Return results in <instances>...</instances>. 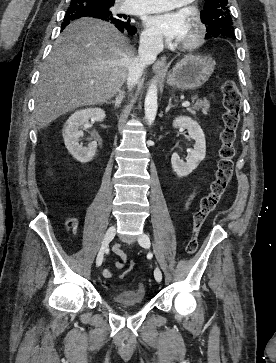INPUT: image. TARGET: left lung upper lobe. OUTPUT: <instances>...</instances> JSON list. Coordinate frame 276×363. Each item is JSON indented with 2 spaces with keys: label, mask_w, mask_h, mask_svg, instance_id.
I'll return each mask as SVG.
<instances>
[{
  "label": "left lung upper lobe",
  "mask_w": 276,
  "mask_h": 363,
  "mask_svg": "<svg viewBox=\"0 0 276 363\" xmlns=\"http://www.w3.org/2000/svg\"><path fill=\"white\" fill-rule=\"evenodd\" d=\"M201 19L207 25V38L223 36L235 38L228 0H205Z\"/></svg>",
  "instance_id": "left-lung-upper-lobe-1"
}]
</instances>
